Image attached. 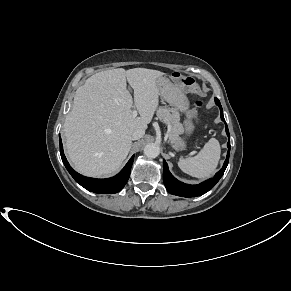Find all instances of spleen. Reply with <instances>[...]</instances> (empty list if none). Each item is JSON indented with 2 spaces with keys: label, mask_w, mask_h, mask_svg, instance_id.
I'll return each mask as SVG.
<instances>
[{
  "label": "spleen",
  "mask_w": 291,
  "mask_h": 291,
  "mask_svg": "<svg viewBox=\"0 0 291 291\" xmlns=\"http://www.w3.org/2000/svg\"><path fill=\"white\" fill-rule=\"evenodd\" d=\"M221 148L217 139L211 138L194 157L180 159L179 168L196 178H206L214 173L220 160Z\"/></svg>",
  "instance_id": "obj_1"
}]
</instances>
